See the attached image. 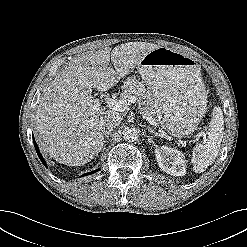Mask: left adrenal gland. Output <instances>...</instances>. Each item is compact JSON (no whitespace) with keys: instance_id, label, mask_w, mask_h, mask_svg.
Segmentation results:
<instances>
[{"instance_id":"a2214340","label":"left adrenal gland","mask_w":247,"mask_h":247,"mask_svg":"<svg viewBox=\"0 0 247 247\" xmlns=\"http://www.w3.org/2000/svg\"><path fill=\"white\" fill-rule=\"evenodd\" d=\"M148 131L153 133V131L150 128L148 129Z\"/></svg>"}]
</instances>
